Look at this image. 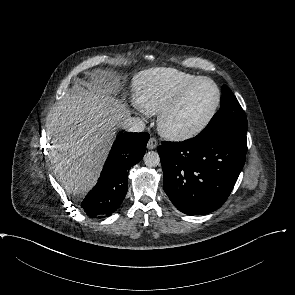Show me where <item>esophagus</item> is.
I'll list each match as a JSON object with an SVG mask.
<instances>
[{
    "label": "esophagus",
    "instance_id": "1",
    "mask_svg": "<svg viewBox=\"0 0 295 295\" xmlns=\"http://www.w3.org/2000/svg\"><path fill=\"white\" fill-rule=\"evenodd\" d=\"M158 145V142L155 138H150L149 141H148V144H147V148L152 150V149H155Z\"/></svg>",
    "mask_w": 295,
    "mask_h": 295
}]
</instances>
